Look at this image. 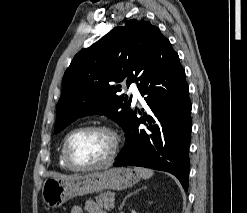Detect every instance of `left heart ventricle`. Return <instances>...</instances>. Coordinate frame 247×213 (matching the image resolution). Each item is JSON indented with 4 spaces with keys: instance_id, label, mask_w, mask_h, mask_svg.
Wrapping results in <instances>:
<instances>
[{
    "instance_id": "1",
    "label": "left heart ventricle",
    "mask_w": 247,
    "mask_h": 213,
    "mask_svg": "<svg viewBox=\"0 0 247 213\" xmlns=\"http://www.w3.org/2000/svg\"><path fill=\"white\" fill-rule=\"evenodd\" d=\"M113 139L102 131L77 134L70 143L72 158L79 164L90 165L104 161L111 153Z\"/></svg>"
}]
</instances>
